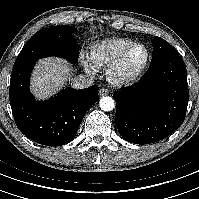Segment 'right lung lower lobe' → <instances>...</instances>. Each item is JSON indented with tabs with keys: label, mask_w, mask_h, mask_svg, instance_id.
<instances>
[{
	"label": "right lung lower lobe",
	"mask_w": 199,
	"mask_h": 199,
	"mask_svg": "<svg viewBox=\"0 0 199 199\" xmlns=\"http://www.w3.org/2000/svg\"><path fill=\"white\" fill-rule=\"evenodd\" d=\"M36 61L12 69L9 100L18 129L29 139L46 146H61L76 136L88 109L98 101V86L66 88L43 102L35 101L29 80Z\"/></svg>",
	"instance_id": "98d812e1"
}]
</instances>
